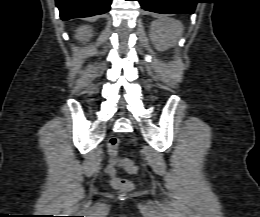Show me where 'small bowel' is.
<instances>
[{
  "label": "small bowel",
  "mask_w": 260,
  "mask_h": 217,
  "mask_svg": "<svg viewBox=\"0 0 260 217\" xmlns=\"http://www.w3.org/2000/svg\"><path fill=\"white\" fill-rule=\"evenodd\" d=\"M118 168V158L116 155V150L113 147H109V155H108V165L106 166V172L109 175H114Z\"/></svg>",
  "instance_id": "obj_1"
}]
</instances>
